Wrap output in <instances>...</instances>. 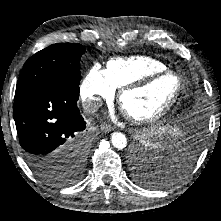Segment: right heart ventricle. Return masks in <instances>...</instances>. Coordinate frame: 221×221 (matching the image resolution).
<instances>
[{"mask_svg": "<svg viewBox=\"0 0 221 221\" xmlns=\"http://www.w3.org/2000/svg\"><path fill=\"white\" fill-rule=\"evenodd\" d=\"M167 66L150 56L116 57L107 62L105 73L115 88L137 80L144 75L166 70Z\"/></svg>", "mask_w": 221, "mask_h": 221, "instance_id": "1", "label": "right heart ventricle"}]
</instances>
